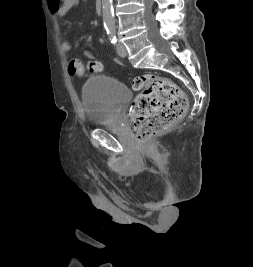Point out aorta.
<instances>
[{"label": "aorta", "instance_id": "762f6f07", "mask_svg": "<svg viewBox=\"0 0 253 267\" xmlns=\"http://www.w3.org/2000/svg\"><path fill=\"white\" fill-rule=\"evenodd\" d=\"M102 18L106 28H115L112 0H102Z\"/></svg>", "mask_w": 253, "mask_h": 267}]
</instances>
